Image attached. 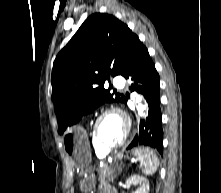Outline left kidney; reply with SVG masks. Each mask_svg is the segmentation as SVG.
Listing matches in <instances>:
<instances>
[{
	"label": "left kidney",
	"mask_w": 221,
	"mask_h": 193,
	"mask_svg": "<svg viewBox=\"0 0 221 193\" xmlns=\"http://www.w3.org/2000/svg\"><path fill=\"white\" fill-rule=\"evenodd\" d=\"M133 184L140 185L139 189L135 193H148L149 192V183L145 178L139 175H132L126 180L125 187L130 188V186Z\"/></svg>",
	"instance_id": "left-kidney-1"
}]
</instances>
